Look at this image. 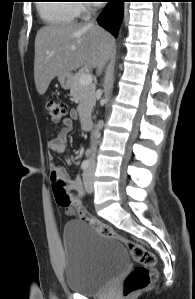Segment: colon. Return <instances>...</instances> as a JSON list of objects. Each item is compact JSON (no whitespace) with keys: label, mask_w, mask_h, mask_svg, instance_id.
Masks as SVG:
<instances>
[{"label":"colon","mask_w":195,"mask_h":299,"mask_svg":"<svg viewBox=\"0 0 195 299\" xmlns=\"http://www.w3.org/2000/svg\"><path fill=\"white\" fill-rule=\"evenodd\" d=\"M45 110L52 122L58 123L66 117L68 106L63 101L48 100L45 104ZM53 194L59 206L64 208L74 207L82 218L100 235L119 241L129 250L132 258L138 263V266L123 281L122 292L125 297L147 288L156 280L154 267L157 259L152 252L141 244L117 233L111 226L89 216L80 199H76L70 195L65 182L58 177L53 179Z\"/></svg>","instance_id":"1"}]
</instances>
